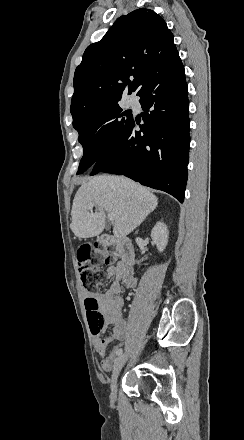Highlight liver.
<instances>
[{
	"label": "liver",
	"mask_w": 244,
	"mask_h": 440,
	"mask_svg": "<svg viewBox=\"0 0 244 440\" xmlns=\"http://www.w3.org/2000/svg\"><path fill=\"white\" fill-rule=\"evenodd\" d=\"M158 198L123 176H94L75 194L70 228L77 238L102 234L107 214H114V236L125 238L157 208ZM89 206H96L95 214Z\"/></svg>",
	"instance_id": "liver-1"
}]
</instances>
